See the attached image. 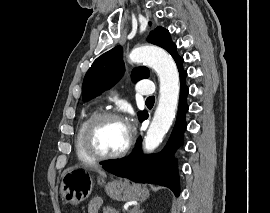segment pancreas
<instances>
[{
  "label": "pancreas",
  "mask_w": 270,
  "mask_h": 213,
  "mask_svg": "<svg viewBox=\"0 0 270 213\" xmlns=\"http://www.w3.org/2000/svg\"><path fill=\"white\" fill-rule=\"evenodd\" d=\"M103 213H118V211L115 208L107 206L103 208Z\"/></svg>",
  "instance_id": "pancreas-1"
}]
</instances>
